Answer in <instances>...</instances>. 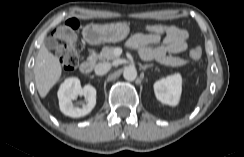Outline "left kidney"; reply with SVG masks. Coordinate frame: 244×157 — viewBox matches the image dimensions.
I'll list each match as a JSON object with an SVG mask.
<instances>
[{
    "mask_svg": "<svg viewBox=\"0 0 244 157\" xmlns=\"http://www.w3.org/2000/svg\"><path fill=\"white\" fill-rule=\"evenodd\" d=\"M182 91V78L180 74H174L163 78L154 84V92L156 98L171 106H176L179 103Z\"/></svg>",
    "mask_w": 244,
    "mask_h": 157,
    "instance_id": "5707ae66",
    "label": "left kidney"
}]
</instances>
